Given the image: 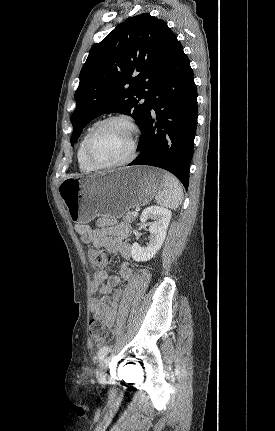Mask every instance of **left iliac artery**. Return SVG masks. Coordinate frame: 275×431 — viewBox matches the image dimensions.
<instances>
[{"label": "left iliac artery", "instance_id": "44dca946", "mask_svg": "<svg viewBox=\"0 0 275 431\" xmlns=\"http://www.w3.org/2000/svg\"><path fill=\"white\" fill-rule=\"evenodd\" d=\"M111 351V348L109 346H104L98 351V359L102 361L107 354Z\"/></svg>", "mask_w": 275, "mask_h": 431}]
</instances>
